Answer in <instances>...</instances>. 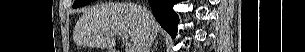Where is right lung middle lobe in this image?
Wrapping results in <instances>:
<instances>
[{"mask_svg":"<svg viewBox=\"0 0 305 52\" xmlns=\"http://www.w3.org/2000/svg\"><path fill=\"white\" fill-rule=\"evenodd\" d=\"M94 0H75L73 7L77 8V7H81V6H85L89 3H91Z\"/></svg>","mask_w":305,"mask_h":52,"instance_id":"1","label":"right lung middle lobe"}]
</instances>
